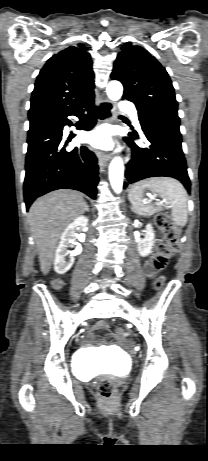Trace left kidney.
I'll use <instances>...</instances> for the list:
<instances>
[{
	"instance_id": "left-kidney-1",
	"label": "left kidney",
	"mask_w": 208,
	"mask_h": 461,
	"mask_svg": "<svg viewBox=\"0 0 208 461\" xmlns=\"http://www.w3.org/2000/svg\"><path fill=\"white\" fill-rule=\"evenodd\" d=\"M154 238H155L154 230L151 224H147L144 238L141 240H138V244H137V249H138L140 256L146 257L152 252V247L154 245Z\"/></svg>"
}]
</instances>
